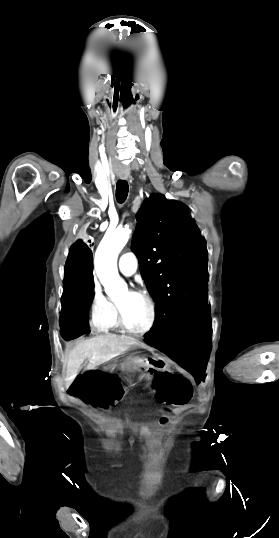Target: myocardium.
<instances>
[{
    "instance_id": "1",
    "label": "myocardium",
    "mask_w": 279,
    "mask_h": 538,
    "mask_svg": "<svg viewBox=\"0 0 279 538\" xmlns=\"http://www.w3.org/2000/svg\"><path fill=\"white\" fill-rule=\"evenodd\" d=\"M105 223H102L100 226H104ZM131 294L135 295V296H139V297H142L148 307H149V320L146 324V326L140 330H135L133 328H131L127 321H126V318H125V313H124V307H123V304L121 301L117 300V314H118V321H119V325L120 327L128 334L130 335H133V336H136V337H142V336H145L147 335L149 332H151V330L153 329V327L155 326V323H156V306H155V303L152 299V297L150 296V294L145 291V290H134V289H127Z\"/></svg>"
}]
</instances>
